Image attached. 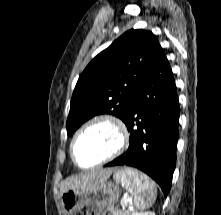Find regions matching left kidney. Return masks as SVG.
I'll return each instance as SVG.
<instances>
[{"mask_svg": "<svg viewBox=\"0 0 221 215\" xmlns=\"http://www.w3.org/2000/svg\"><path fill=\"white\" fill-rule=\"evenodd\" d=\"M135 215H155V213H154V212L147 211V212L136 213Z\"/></svg>", "mask_w": 221, "mask_h": 215, "instance_id": "1", "label": "left kidney"}]
</instances>
